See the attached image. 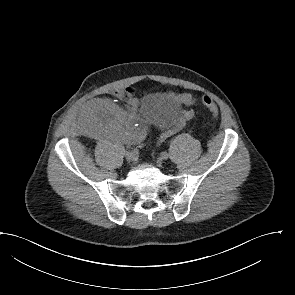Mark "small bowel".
<instances>
[{
	"label": "small bowel",
	"mask_w": 295,
	"mask_h": 295,
	"mask_svg": "<svg viewBox=\"0 0 295 295\" xmlns=\"http://www.w3.org/2000/svg\"><path fill=\"white\" fill-rule=\"evenodd\" d=\"M117 98L125 99L131 106L130 111L116 107L110 100L95 99L88 101L81 112L82 120L93 130L104 137L123 142L141 143L148 134V128L140 122L136 109L138 99L131 88H122L114 91ZM172 96L179 102L191 105L193 97L188 93H172ZM193 116L191 110L185 111L178 122L167 129L161 136L166 139L182 128L185 121Z\"/></svg>",
	"instance_id": "1"
}]
</instances>
